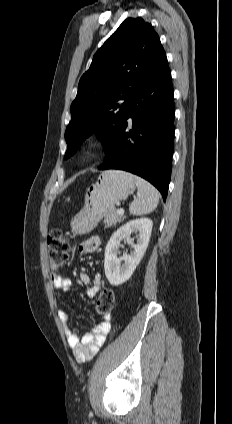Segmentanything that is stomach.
Masks as SVG:
<instances>
[{"label": "stomach", "mask_w": 232, "mask_h": 424, "mask_svg": "<svg viewBox=\"0 0 232 424\" xmlns=\"http://www.w3.org/2000/svg\"><path fill=\"white\" fill-rule=\"evenodd\" d=\"M134 176L121 170L104 171L86 195L83 210L71 223L74 234H86L92 231L101 219L115 209V204L126 200L134 192Z\"/></svg>", "instance_id": "obj_1"}]
</instances>
